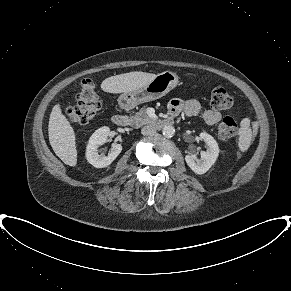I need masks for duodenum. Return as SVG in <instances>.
I'll use <instances>...</instances> for the list:
<instances>
[{
  "instance_id": "obj_1",
  "label": "duodenum",
  "mask_w": 291,
  "mask_h": 291,
  "mask_svg": "<svg viewBox=\"0 0 291 291\" xmlns=\"http://www.w3.org/2000/svg\"><path fill=\"white\" fill-rule=\"evenodd\" d=\"M112 120H113L115 125L120 126V127H124V126H127L129 124V118L123 113H118V114L114 115ZM172 123H173L172 119H165V120L159 121L157 123V125L159 127H163L166 125H171Z\"/></svg>"
}]
</instances>
